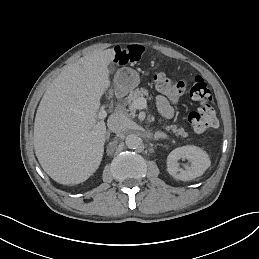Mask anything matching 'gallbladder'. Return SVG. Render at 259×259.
Segmentation results:
<instances>
[{
	"label": "gallbladder",
	"instance_id": "bac80fb5",
	"mask_svg": "<svg viewBox=\"0 0 259 259\" xmlns=\"http://www.w3.org/2000/svg\"><path fill=\"white\" fill-rule=\"evenodd\" d=\"M113 69H114V67L113 66H111V68H110V72H112L113 71ZM113 96V90L112 89H110L109 90V96H108V98H111Z\"/></svg>",
	"mask_w": 259,
	"mask_h": 259
}]
</instances>
